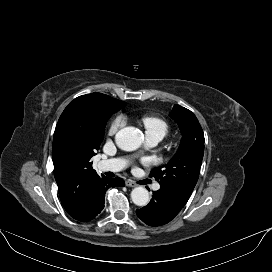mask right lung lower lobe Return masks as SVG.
I'll use <instances>...</instances> for the list:
<instances>
[{
    "label": "right lung lower lobe",
    "mask_w": 272,
    "mask_h": 272,
    "mask_svg": "<svg viewBox=\"0 0 272 272\" xmlns=\"http://www.w3.org/2000/svg\"><path fill=\"white\" fill-rule=\"evenodd\" d=\"M124 185V180L119 177L113 179L105 177L104 179H102L96 187V196L93 199L90 207L81 216L74 219L83 222L94 219L104 208L105 192L110 187H123Z\"/></svg>",
    "instance_id": "right-lung-lower-lobe-1"
}]
</instances>
